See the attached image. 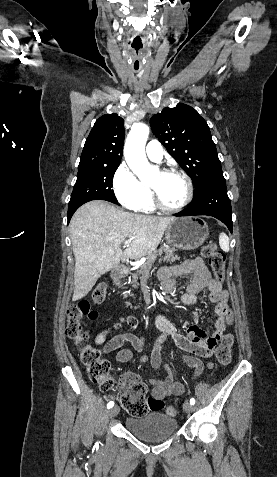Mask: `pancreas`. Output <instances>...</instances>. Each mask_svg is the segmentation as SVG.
<instances>
[{
  "label": "pancreas",
  "mask_w": 277,
  "mask_h": 477,
  "mask_svg": "<svg viewBox=\"0 0 277 477\" xmlns=\"http://www.w3.org/2000/svg\"><path fill=\"white\" fill-rule=\"evenodd\" d=\"M174 252V249L160 248L159 250L149 254L146 263L141 265L136 271V273L132 274V286L134 288H137L140 285L137 282L139 278L142 279L144 277H149V271L158 257H160L159 262H175L177 260H180V257L178 255H175ZM163 253L165 254L164 256H162Z\"/></svg>",
  "instance_id": "cf45deb5"
}]
</instances>
